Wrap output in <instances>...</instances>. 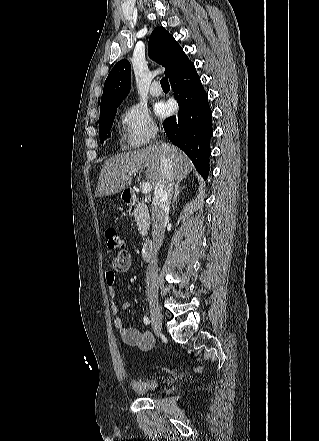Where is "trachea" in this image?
Returning a JSON list of instances; mask_svg holds the SVG:
<instances>
[{
  "label": "trachea",
  "mask_w": 319,
  "mask_h": 441,
  "mask_svg": "<svg viewBox=\"0 0 319 441\" xmlns=\"http://www.w3.org/2000/svg\"><path fill=\"white\" fill-rule=\"evenodd\" d=\"M161 87L168 88L170 87L167 77H163L160 81Z\"/></svg>",
  "instance_id": "1"
}]
</instances>
